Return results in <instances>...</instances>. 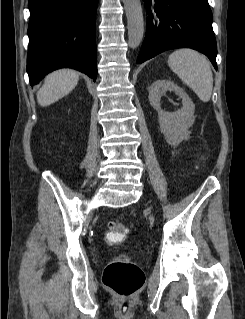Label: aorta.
<instances>
[{
    "instance_id": "1",
    "label": "aorta",
    "mask_w": 245,
    "mask_h": 319,
    "mask_svg": "<svg viewBox=\"0 0 245 319\" xmlns=\"http://www.w3.org/2000/svg\"><path fill=\"white\" fill-rule=\"evenodd\" d=\"M127 17L128 44L137 48L144 35V20L140 0H122Z\"/></svg>"
}]
</instances>
